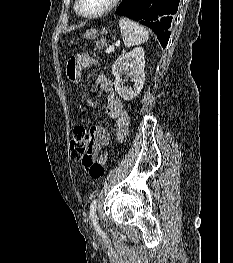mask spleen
<instances>
[{
  "label": "spleen",
  "instance_id": "1",
  "mask_svg": "<svg viewBox=\"0 0 233 263\" xmlns=\"http://www.w3.org/2000/svg\"><path fill=\"white\" fill-rule=\"evenodd\" d=\"M119 26L126 47L142 44L149 39L148 31L130 19L121 18L119 20Z\"/></svg>",
  "mask_w": 233,
  "mask_h": 263
}]
</instances>
